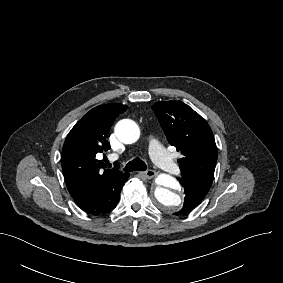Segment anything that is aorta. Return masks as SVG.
<instances>
[{
  "mask_svg": "<svg viewBox=\"0 0 283 283\" xmlns=\"http://www.w3.org/2000/svg\"><path fill=\"white\" fill-rule=\"evenodd\" d=\"M115 135L124 144L135 143L140 137V129L135 121L122 119L115 125ZM155 199L162 210L170 212L179 209L182 199L176 192L180 185L169 174H159L156 178Z\"/></svg>",
  "mask_w": 283,
  "mask_h": 283,
  "instance_id": "762f6f07",
  "label": "aorta"
}]
</instances>
